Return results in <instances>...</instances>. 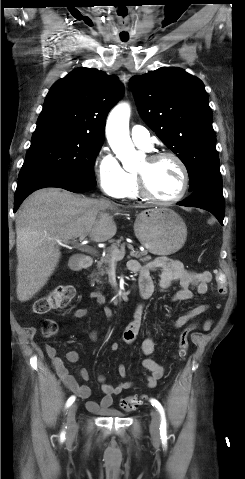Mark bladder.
Segmentation results:
<instances>
[{
	"mask_svg": "<svg viewBox=\"0 0 245 479\" xmlns=\"http://www.w3.org/2000/svg\"><path fill=\"white\" fill-rule=\"evenodd\" d=\"M105 416H112V417H123L124 414L117 410H106L104 411Z\"/></svg>",
	"mask_w": 245,
	"mask_h": 479,
	"instance_id": "31cf9c89",
	"label": "bladder"
}]
</instances>
